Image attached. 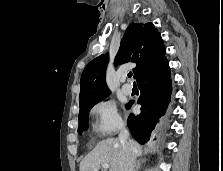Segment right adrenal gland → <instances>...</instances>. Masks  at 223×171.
I'll return each instance as SVG.
<instances>
[{"instance_id":"obj_1","label":"right adrenal gland","mask_w":223,"mask_h":171,"mask_svg":"<svg viewBox=\"0 0 223 171\" xmlns=\"http://www.w3.org/2000/svg\"><path fill=\"white\" fill-rule=\"evenodd\" d=\"M139 165H140V162H137V166H136L137 170H138V168H139Z\"/></svg>"}]
</instances>
